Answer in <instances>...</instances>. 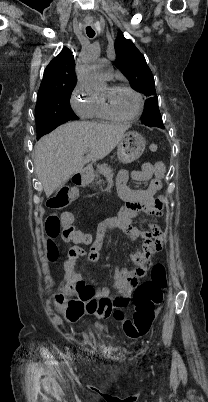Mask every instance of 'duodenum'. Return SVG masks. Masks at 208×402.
Listing matches in <instances>:
<instances>
[{
  "label": "duodenum",
  "instance_id": "1",
  "mask_svg": "<svg viewBox=\"0 0 208 402\" xmlns=\"http://www.w3.org/2000/svg\"><path fill=\"white\" fill-rule=\"evenodd\" d=\"M72 180L76 186H82L87 180V173L83 170L79 171L73 175Z\"/></svg>",
  "mask_w": 208,
  "mask_h": 402
}]
</instances>
